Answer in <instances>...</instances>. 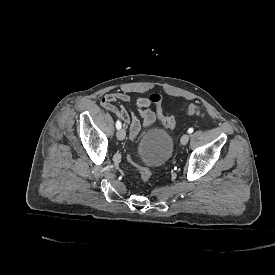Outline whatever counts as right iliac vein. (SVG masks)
Returning <instances> with one entry per match:
<instances>
[{"instance_id": "1", "label": "right iliac vein", "mask_w": 275, "mask_h": 275, "mask_svg": "<svg viewBox=\"0 0 275 275\" xmlns=\"http://www.w3.org/2000/svg\"><path fill=\"white\" fill-rule=\"evenodd\" d=\"M126 136V132L123 128H120L118 131H117V138L119 140H123Z\"/></svg>"}]
</instances>
